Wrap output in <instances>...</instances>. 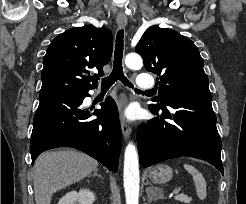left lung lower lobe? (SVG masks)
Returning <instances> with one entry per match:
<instances>
[{"label": "left lung lower lobe", "instance_id": "1", "mask_svg": "<svg viewBox=\"0 0 246 204\" xmlns=\"http://www.w3.org/2000/svg\"><path fill=\"white\" fill-rule=\"evenodd\" d=\"M149 108L158 118L142 124L137 132L143 167L188 156L208 161L224 173L211 99L171 98L158 110Z\"/></svg>", "mask_w": 246, "mask_h": 204}]
</instances>
